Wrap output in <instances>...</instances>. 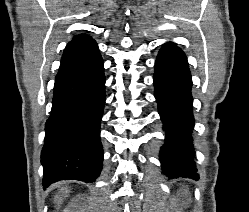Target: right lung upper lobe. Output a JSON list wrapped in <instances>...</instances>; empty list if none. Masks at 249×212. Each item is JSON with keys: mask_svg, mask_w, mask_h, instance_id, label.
<instances>
[{"mask_svg": "<svg viewBox=\"0 0 249 212\" xmlns=\"http://www.w3.org/2000/svg\"><path fill=\"white\" fill-rule=\"evenodd\" d=\"M98 55L95 40L85 34L76 35L64 50L59 72L82 65Z\"/></svg>", "mask_w": 249, "mask_h": 212, "instance_id": "obj_1", "label": "right lung upper lobe"}]
</instances>
